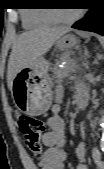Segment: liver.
I'll return each instance as SVG.
<instances>
[{
  "mask_svg": "<svg viewBox=\"0 0 104 169\" xmlns=\"http://www.w3.org/2000/svg\"><path fill=\"white\" fill-rule=\"evenodd\" d=\"M66 26L40 27L19 35L12 44L8 61L7 85L11 90L15 76L23 68L34 65L54 43L70 32Z\"/></svg>",
  "mask_w": 104,
  "mask_h": 169,
  "instance_id": "liver-1",
  "label": "liver"
}]
</instances>
